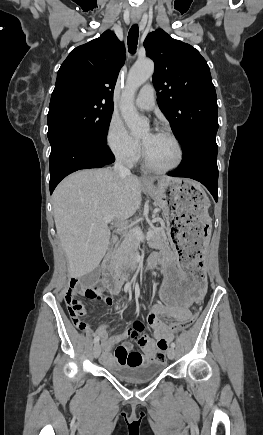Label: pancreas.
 Wrapping results in <instances>:
<instances>
[{"label":"pancreas","mask_w":263,"mask_h":435,"mask_svg":"<svg viewBox=\"0 0 263 435\" xmlns=\"http://www.w3.org/2000/svg\"><path fill=\"white\" fill-rule=\"evenodd\" d=\"M152 236L148 241V245L151 248L158 249L162 243V228H152ZM139 239L129 234L121 246L117 249L115 258L113 261L114 267L118 272L127 270L129 268L130 256L134 246L138 245Z\"/></svg>","instance_id":"1"}]
</instances>
